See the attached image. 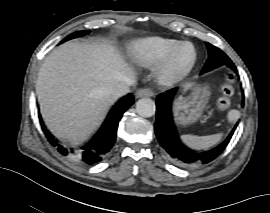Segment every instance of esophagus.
Masks as SVG:
<instances>
[{"mask_svg": "<svg viewBox=\"0 0 270 213\" xmlns=\"http://www.w3.org/2000/svg\"><path fill=\"white\" fill-rule=\"evenodd\" d=\"M153 95L154 92L149 88L140 89L135 94L136 98L151 97Z\"/></svg>", "mask_w": 270, "mask_h": 213, "instance_id": "34e87169", "label": "esophagus"}]
</instances>
